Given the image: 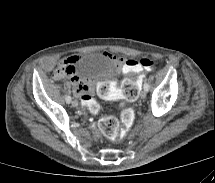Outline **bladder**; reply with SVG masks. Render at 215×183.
<instances>
[{
	"mask_svg": "<svg viewBox=\"0 0 215 183\" xmlns=\"http://www.w3.org/2000/svg\"><path fill=\"white\" fill-rule=\"evenodd\" d=\"M75 70L88 79H107L115 81L120 68L118 64L107 55L92 52L79 57L75 64Z\"/></svg>",
	"mask_w": 215,
	"mask_h": 183,
	"instance_id": "obj_1",
	"label": "bladder"
}]
</instances>
